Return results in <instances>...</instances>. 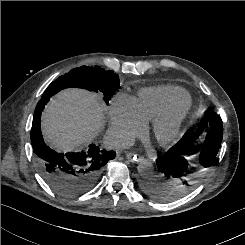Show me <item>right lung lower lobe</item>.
Returning <instances> with one entry per match:
<instances>
[{
  "mask_svg": "<svg viewBox=\"0 0 245 245\" xmlns=\"http://www.w3.org/2000/svg\"><path fill=\"white\" fill-rule=\"evenodd\" d=\"M49 97L38 102L31 128V143L38 170L46 183L64 197H75L87 192L97 182L104 165L116 156L114 151L101 150L95 144L87 151L58 153L44 142L40 119Z\"/></svg>",
  "mask_w": 245,
  "mask_h": 245,
  "instance_id": "obj_1",
  "label": "right lung lower lobe"
}]
</instances>
